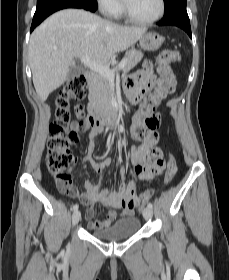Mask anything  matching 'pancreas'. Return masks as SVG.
<instances>
[{"mask_svg":"<svg viewBox=\"0 0 229 280\" xmlns=\"http://www.w3.org/2000/svg\"><path fill=\"white\" fill-rule=\"evenodd\" d=\"M143 58V53L139 50L132 49L126 53V65L123 72L130 71ZM89 101L100 111L110 109V100L112 87L110 79L96 74L93 80L88 84Z\"/></svg>","mask_w":229,"mask_h":280,"instance_id":"1","label":"pancreas"}]
</instances>
